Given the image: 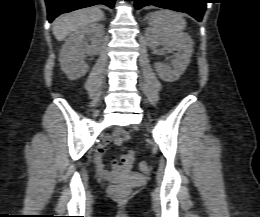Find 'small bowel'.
<instances>
[{
  "label": "small bowel",
  "instance_id": "c3829d8e",
  "mask_svg": "<svg viewBox=\"0 0 260 217\" xmlns=\"http://www.w3.org/2000/svg\"><path fill=\"white\" fill-rule=\"evenodd\" d=\"M128 138V133L123 129H116L113 134L103 139L94 153V162L96 164L97 172L101 177L107 180H112L118 176H123L130 173L133 162L134 152L132 150L123 152L119 161H113L112 169L107 170L102 162L105 155L106 147L110 143H114L118 147L122 148L123 142Z\"/></svg>",
  "mask_w": 260,
  "mask_h": 217
}]
</instances>
